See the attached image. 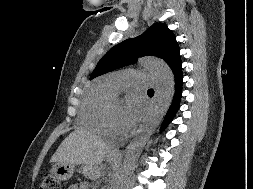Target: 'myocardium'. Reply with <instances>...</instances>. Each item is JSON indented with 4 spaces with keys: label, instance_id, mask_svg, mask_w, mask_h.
Returning <instances> with one entry per match:
<instances>
[{
    "label": "myocardium",
    "instance_id": "1",
    "mask_svg": "<svg viewBox=\"0 0 253 189\" xmlns=\"http://www.w3.org/2000/svg\"><path fill=\"white\" fill-rule=\"evenodd\" d=\"M104 122H105V129L107 133L111 135H116V136L125 135L126 133L125 130H118L113 126L112 120H111L110 105H108L106 108Z\"/></svg>",
    "mask_w": 253,
    "mask_h": 189
}]
</instances>
